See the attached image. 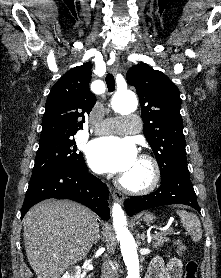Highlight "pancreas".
Wrapping results in <instances>:
<instances>
[{
	"instance_id": "1",
	"label": "pancreas",
	"mask_w": 221,
	"mask_h": 278,
	"mask_svg": "<svg viewBox=\"0 0 221 278\" xmlns=\"http://www.w3.org/2000/svg\"><path fill=\"white\" fill-rule=\"evenodd\" d=\"M152 238L154 240L153 248H155V249L162 247L165 242L169 241L168 238L164 237L163 233L154 235Z\"/></svg>"
}]
</instances>
